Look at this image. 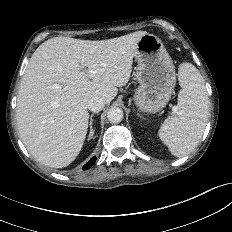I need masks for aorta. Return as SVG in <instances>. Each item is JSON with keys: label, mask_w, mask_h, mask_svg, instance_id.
I'll return each instance as SVG.
<instances>
[{"label": "aorta", "mask_w": 232, "mask_h": 232, "mask_svg": "<svg viewBox=\"0 0 232 232\" xmlns=\"http://www.w3.org/2000/svg\"><path fill=\"white\" fill-rule=\"evenodd\" d=\"M123 110L119 107H112L107 113V118L112 123H119L123 119Z\"/></svg>", "instance_id": "1"}]
</instances>
